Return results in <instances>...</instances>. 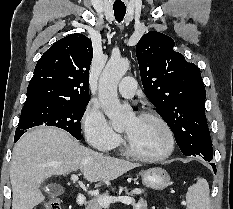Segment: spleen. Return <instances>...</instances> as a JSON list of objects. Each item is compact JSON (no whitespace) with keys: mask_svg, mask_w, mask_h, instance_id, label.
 I'll list each match as a JSON object with an SVG mask.
<instances>
[{"mask_svg":"<svg viewBox=\"0 0 233 209\" xmlns=\"http://www.w3.org/2000/svg\"><path fill=\"white\" fill-rule=\"evenodd\" d=\"M187 209H210L209 185L206 179L199 178L186 193Z\"/></svg>","mask_w":233,"mask_h":209,"instance_id":"obj_1","label":"spleen"}]
</instances>
